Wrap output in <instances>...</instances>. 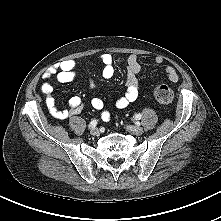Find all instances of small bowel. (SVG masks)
I'll list each match as a JSON object with an SVG mask.
<instances>
[{"label": "small bowel", "mask_w": 221, "mask_h": 221, "mask_svg": "<svg viewBox=\"0 0 221 221\" xmlns=\"http://www.w3.org/2000/svg\"><path fill=\"white\" fill-rule=\"evenodd\" d=\"M100 61L102 64V76L106 79L111 78L114 75V63L111 54L103 53L100 55ZM156 64H162L163 58L158 56L155 58ZM140 72V65L137 60V57L134 54H131L127 57V77H126V90L122 96L117 98L115 106L118 109L126 108L131 102L135 101L138 97V80L137 75ZM167 78L171 82H177L179 80V75L176 69L172 66H167L165 68ZM55 75L56 79L60 83H69L74 81L78 74L76 72V61L72 59L65 60L53 66L43 75L45 80L42 84V91L47 95L45 99L46 107L49 113L57 119H66L68 117L78 115L83 109V102L79 96H73L69 100V108L59 110L56 108L55 100L50 94L53 91L52 84L48 79ZM91 105L94 109L100 110L101 119L105 122L110 121L111 114L109 111L104 110V102L100 97H94L91 100Z\"/></svg>", "instance_id": "small-bowel-1"}]
</instances>
